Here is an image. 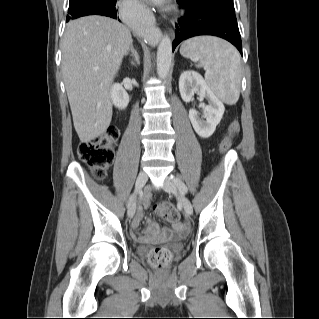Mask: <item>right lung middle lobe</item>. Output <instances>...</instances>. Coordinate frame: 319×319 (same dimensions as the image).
<instances>
[{"mask_svg": "<svg viewBox=\"0 0 319 319\" xmlns=\"http://www.w3.org/2000/svg\"><path fill=\"white\" fill-rule=\"evenodd\" d=\"M94 0H70L69 1V9L68 13L69 15L67 18L75 14L76 12L80 11L83 9L85 6L93 2Z\"/></svg>", "mask_w": 319, "mask_h": 319, "instance_id": "dd1d6c3e", "label": "right lung middle lobe"}]
</instances>
